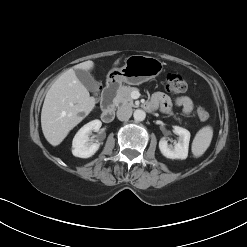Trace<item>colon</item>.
Listing matches in <instances>:
<instances>
[{
  "mask_svg": "<svg viewBox=\"0 0 247 247\" xmlns=\"http://www.w3.org/2000/svg\"><path fill=\"white\" fill-rule=\"evenodd\" d=\"M166 88L171 92L181 93L187 90L188 84L180 74L169 73L166 76ZM197 114L201 120H207L210 116L209 111L204 107H199Z\"/></svg>",
  "mask_w": 247,
  "mask_h": 247,
  "instance_id": "5ec220e1",
  "label": "colon"
}]
</instances>
